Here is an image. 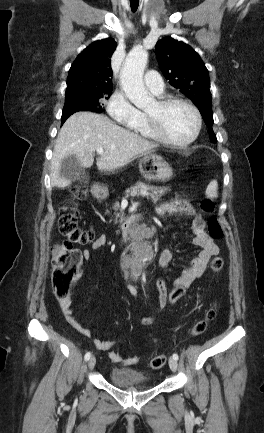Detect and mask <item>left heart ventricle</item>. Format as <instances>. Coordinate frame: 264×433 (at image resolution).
<instances>
[{
    "label": "left heart ventricle",
    "instance_id": "1",
    "mask_svg": "<svg viewBox=\"0 0 264 433\" xmlns=\"http://www.w3.org/2000/svg\"><path fill=\"white\" fill-rule=\"evenodd\" d=\"M146 112L160 116L166 134L173 140L185 141L195 130V117L192 111L182 104H175L160 111L155 102Z\"/></svg>",
    "mask_w": 264,
    "mask_h": 433
}]
</instances>
